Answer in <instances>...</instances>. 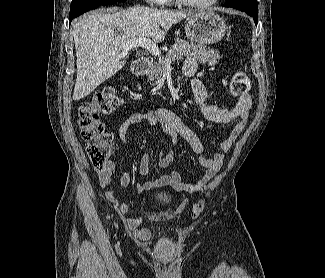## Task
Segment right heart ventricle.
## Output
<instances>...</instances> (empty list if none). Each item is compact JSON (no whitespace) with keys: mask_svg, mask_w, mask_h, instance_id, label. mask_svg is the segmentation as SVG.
Returning a JSON list of instances; mask_svg holds the SVG:
<instances>
[{"mask_svg":"<svg viewBox=\"0 0 325 278\" xmlns=\"http://www.w3.org/2000/svg\"><path fill=\"white\" fill-rule=\"evenodd\" d=\"M172 0H165V2H171Z\"/></svg>","mask_w":325,"mask_h":278,"instance_id":"e07e8e85","label":"right heart ventricle"}]
</instances>
